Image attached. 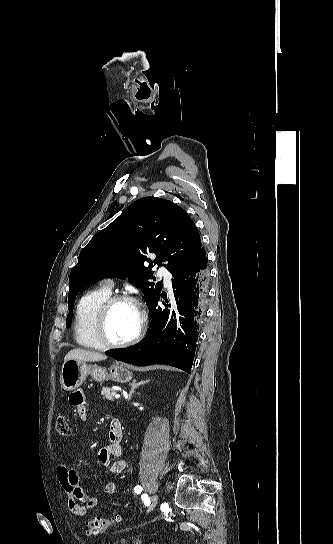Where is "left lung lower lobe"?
Returning a JSON list of instances; mask_svg holds the SVG:
<instances>
[{"instance_id":"1","label":"left lung lower lobe","mask_w":333,"mask_h":544,"mask_svg":"<svg viewBox=\"0 0 333 544\" xmlns=\"http://www.w3.org/2000/svg\"><path fill=\"white\" fill-rule=\"evenodd\" d=\"M173 277L175 299L169 303L160 294L149 304L152 324L144 339L126 349L109 350L106 355L136 366L168 364L190 373L208 291L205 249L201 247ZM160 297L165 299V308L157 307Z\"/></svg>"}]
</instances>
